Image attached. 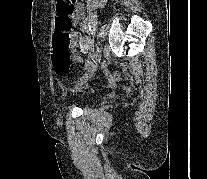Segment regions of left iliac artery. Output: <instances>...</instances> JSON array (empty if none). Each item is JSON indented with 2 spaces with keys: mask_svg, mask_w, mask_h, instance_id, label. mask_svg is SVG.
Segmentation results:
<instances>
[{
  "mask_svg": "<svg viewBox=\"0 0 207 179\" xmlns=\"http://www.w3.org/2000/svg\"><path fill=\"white\" fill-rule=\"evenodd\" d=\"M93 48H96V45H93ZM95 57H96V50L92 49L89 52V57H88V60H86V62H85V68L84 69H87L90 64L94 63Z\"/></svg>",
  "mask_w": 207,
  "mask_h": 179,
  "instance_id": "44dca946",
  "label": "left iliac artery"
}]
</instances>
